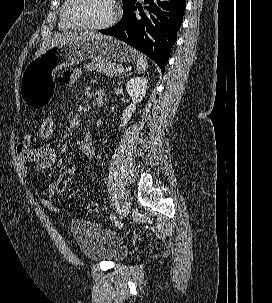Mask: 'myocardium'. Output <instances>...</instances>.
I'll return each mask as SVG.
<instances>
[{
	"label": "myocardium",
	"mask_w": 272,
	"mask_h": 303,
	"mask_svg": "<svg viewBox=\"0 0 272 303\" xmlns=\"http://www.w3.org/2000/svg\"><path fill=\"white\" fill-rule=\"evenodd\" d=\"M76 2L77 0H68V4L66 8V18L71 24H73L75 27L80 29L91 30V31H99L106 29L112 26L120 15V7L117 0H111L113 5V13L107 21L98 25L86 24L76 19L75 16L73 15V8Z\"/></svg>",
	"instance_id": "myocardium-1"
}]
</instances>
